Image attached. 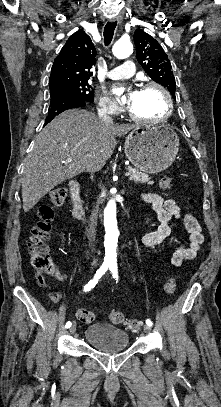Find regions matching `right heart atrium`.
Masks as SVG:
<instances>
[{"instance_id":"right-heart-atrium-1","label":"right heart atrium","mask_w":221,"mask_h":407,"mask_svg":"<svg viewBox=\"0 0 221 407\" xmlns=\"http://www.w3.org/2000/svg\"><path fill=\"white\" fill-rule=\"evenodd\" d=\"M97 110L100 113L117 115L120 112L118 105L106 95H101L97 101Z\"/></svg>"}]
</instances>
